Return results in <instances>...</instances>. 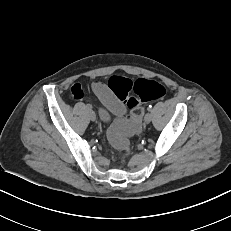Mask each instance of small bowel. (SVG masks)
Instances as JSON below:
<instances>
[{
    "mask_svg": "<svg viewBox=\"0 0 231 231\" xmlns=\"http://www.w3.org/2000/svg\"><path fill=\"white\" fill-rule=\"evenodd\" d=\"M94 93L99 98L102 108L100 114L104 120H108L109 116L112 115H124L126 108L124 104L111 92V90L100 82H94L92 84ZM72 96L75 99L83 98V91L79 84H74L71 88Z\"/></svg>",
    "mask_w": 231,
    "mask_h": 231,
    "instance_id": "1",
    "label": "small bowel"
}]
</instances>
